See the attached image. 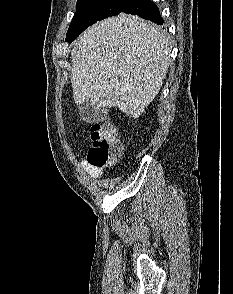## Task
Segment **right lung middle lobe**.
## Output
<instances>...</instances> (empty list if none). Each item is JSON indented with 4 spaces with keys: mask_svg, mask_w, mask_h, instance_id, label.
Segmentation results:
<instances>
[{
    "mask_svg": "<svg viewBox=\"0 0 233 294\" xmlns=\"http://www.w3.org/2000/svg\"><path fill=\"white\" fill-rule=\"evenodd\" d=\"M129 0H78L76 12L67 31L66 40L78 37L93 23L118 15Z\"/></svg>",
    "mask_w": 233,
    "mask_h": 294,
    "instance_id": "right-lung-middle-lobe-1",
    "label": "right lung middle lobe"
}]
</instances>
